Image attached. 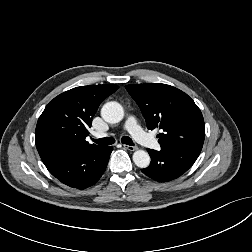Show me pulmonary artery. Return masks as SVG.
<instances>
[{
	"mask_svg": "<svg viewBox=\"0 0 252 252\" xmlns=\"http://www.w3.org/2000/svg\"><path fill=\"white\" fill-rule=\"evenodd\" d=\"M125 128L132 135V137L141 145L150 149L159 148L158 141L143 131V129L140 127L137 119L134 116H130L127 119ZM96 136L101 137L103 136V134L97 133Z\"/></svg>",
	"mask_w": 252,
	"mask_h": 252,
	"instance_id": "obj_1",
	"label": "pulmonary artery"
}]
</instances>
